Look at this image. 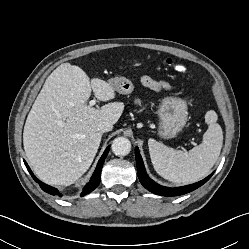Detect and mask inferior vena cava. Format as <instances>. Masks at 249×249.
<instances>
[{"label": "inferior vena cava", "instance_id": "1", "mask_svg": "<svg viewBox=\"0 0 249 249\" xmlns=\"http://www.w3.org/2000/svg\"><path fill=\"white\" fill-rule=\"evenodd\" d=\"M112 127L113 126L109 122H107V121H101L97 125V130L99 132L104 133V132H108V131L112 130Z\"/></svg>", "mask_w": 249, "mask_h": 249}]
</instances>
